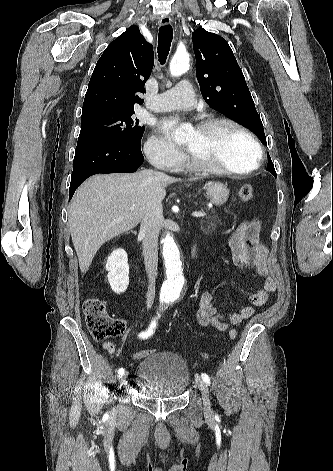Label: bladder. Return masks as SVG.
Here are the masks:
<instances>
[{"label":"bladder","instance_id":"obj_1","mask_svg":"<svg viewBox=\"0 0 333 471\" xmlns=\"http://www.w3.org/2000/svg\"><path fill=\"white\" fill-rule=\"evenodd\" d=\"M136 376L142 382L146 395L156 399L180 397L191 380L186 361L171 351H159L146 356L139 363Z\"/></svg>","mask_w":333,"mask_h":471}]
</instances>
